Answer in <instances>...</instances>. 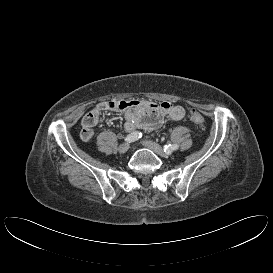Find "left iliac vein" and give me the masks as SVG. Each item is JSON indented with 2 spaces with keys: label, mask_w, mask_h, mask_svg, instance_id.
Returning <instances> with one entry per match:
<instances>
[{
  "label": "left iliac vein",
  "mask_w": 273,
  "mask_h": 273,
  "mask_svg": "<svg viewBox=\"0 0 273 273\" xmlns=\"http://www.w3.org/2000/svg\"><path fill=\"white\" fill-rule=\"evenodd\" d=\"M142 144L145 147L151 149L153 152H155L157 155H159L161 157H166L167 155H169V154L165 153V151L163 150V148L160 145H158L157 143H155L151 140H144L142 142Z\"/></svg>",
  "instance_id": "left-iliac-vein-1"
}]
</instances>
